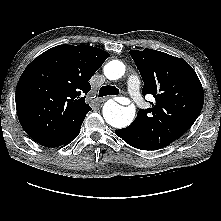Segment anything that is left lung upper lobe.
<instances>
[{"mask_svg": "<svg viewBox=\"0 0 221 221\" xmlns=\"http://www.w3.org/2000/svg\"><path fill=\"white\" fill-rule=\"evenodd\" d=\"M144 81L143 95L152 94L156 103L140 109L130 127L135 144L142 150L166 147L193 125L204 103L201 82L183 59L167 53L144 49L131 50Z\"/></svg>", "mask_w": 221, "mask_h": 221, "instance_id": "obj_1", "label": "left lung upper lobe"}]
</instances>
